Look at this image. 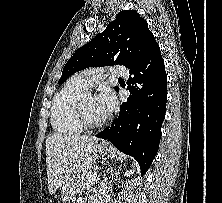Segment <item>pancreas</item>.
Instances as JSON below:
<instances>
[{"instance_id":"pancreas-1","label":"pancreas","mask_w":222,"mask_h":203,"mask_svg":"<svg viewBox=\"0 0 222 203\" xmlns=\"http://www.w3.org/2000/svg\"><path fill=\"white\" fill-rule=\"evenodd\" d=\"M97 168L93 167L89 171H87L80 179V186H85L89 184V181L96 176Z\"/></svg>"}]
</instances>
